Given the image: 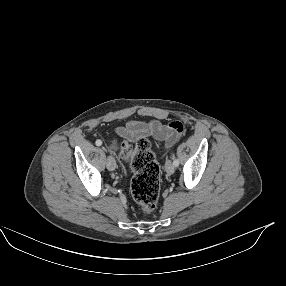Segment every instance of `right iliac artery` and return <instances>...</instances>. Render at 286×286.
I'll return each instance as SVG.
<instances>
[{"mask_svg":"<svg viewBox=\"0 0 286 286\" xmlns=\"http://www.w3.org/2000/svg\"><path fill=\"white\" fill-rule=\"evenodd\" d=\"M95 143H96L97 146H101L102 145V141L101 140H96Z\"/></svg>","mask_w":286,"mask_h":286,"instance_id":"82829eb1","label":"right iliac artery"}]
</instances>
